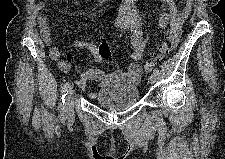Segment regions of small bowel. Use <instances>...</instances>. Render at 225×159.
<instances>
[{"label":"small bowel","instance_id":"obj_1","mask_svg":"<svg viewBox=\"0 0 225 159\" xmlns=\"http://www.w3.org/2000/svg\"><path fill=\"white\" fill-rule=\"evenodd\" d=\"M137 0H126L119 5L114 19L115 25L125 31L130 38V45L132 51L130 53L131 62L127 65L126 70H114L110 73H105L100 65L104 61H111V52L108 44L100 38L98 42L75 41L72 44L74 49H86L92 55L94 66L85 69L81 77L76 81L79 88L85 89L88 82H99L102 85L112 81H126L128 83L137 84L142 75L143 70L140 61L145 56L147 42L142 36V27L135 10V3ZM47 5L39 2L35 5L36 20L39 27L40 37L43 42L50 46L49 56L53 61L57 62L58 68L67 73L71 70V58L68 55L67 60H61V51L51 46V29L46 17L42 13ZM191 10V2L186 1L179 11L173 0H165L163 2V11L160 16V28L165 29L170 22V30L168 39L172 48L176 47L180 41L182 26L184 20ZM95 93H91L94 97Z\"/></svg>","mask_w":225,"mask_h":159}]
</instances>
